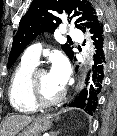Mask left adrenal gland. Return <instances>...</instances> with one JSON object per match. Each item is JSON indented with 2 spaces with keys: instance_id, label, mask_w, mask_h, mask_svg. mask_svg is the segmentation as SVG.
I'll list each match as a JSON object with an SVG mask.
<instances>
[{
  "instance_id": "1",
  "label": "left adrenal gland",
  "mask_w": 117,
  "mask_h": 136,
  "mask_svg": "<svg viewBox=\"0 0 117 136\" xmlns=\"http://www.w3.org/2000/svg\"><path fill=\"white\" fill-rule=\"evenodd\" d=\"M58 134H59V131H57V132H51V136H58Z\"/></svg>"
}]
</instances>
